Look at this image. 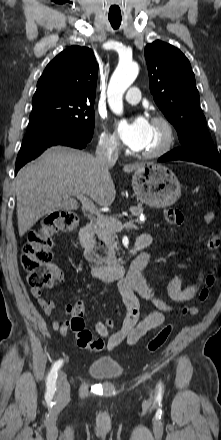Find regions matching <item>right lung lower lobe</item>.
<instances>
[{
    "mask_svg": "<svg viewBox=\"0 0 221 440\" xmlns=\"http://www.w3.org/2000/svg\"><path fill=\"white\" fill-rule=\"evenodd\" d=\"M90 140L56 131H38L26 134L16 159L15 174L22 166L34 160L50 146L60 144L83 149Z\"/></svg>",
    "mask_w": 221,
    "mask_h": 440,
    "instance_id": "98d812e1",
    "label": "right lung lower lobe"
}]
</instances>
